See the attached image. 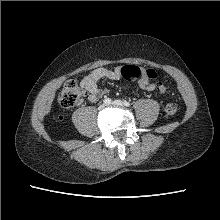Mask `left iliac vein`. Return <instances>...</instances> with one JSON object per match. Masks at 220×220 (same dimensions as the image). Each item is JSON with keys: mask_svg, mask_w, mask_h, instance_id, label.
Wrapping results in <instances>:
<instances>
[{"mask_svg": "<svg viewBox=\"0 0 220 220\" xmlns=\"http://www.w3.org/2000/svg\"><path fill=\"white\" fill-rule=\"evenodd\" d=\"M114 106L123 107L124 103L121 100H115L112 103Z\"/></svg>", "mask_w": 220, "mask_h": 220, "instance_id": "left-iliac-vein-1", "label": "left iliac vein"}]
</instances>
